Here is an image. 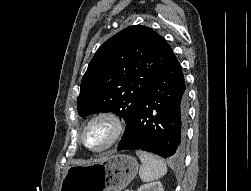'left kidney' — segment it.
I'll list each match as a JSON object with an SVG mask.
<instances>
[{
  "mask_svg": "<svg viewBox=\"0 0 251 191\" xmlns=\"http://www.w3.org/2000/svg\"><path fill=\"white\" fill-rule=\"evenodd\" d=\"M137 191H164V187L161 181H150V183H144Z\"/></svg>",
  "mask_w": 251,
  "mask_h": 191,
  "instance_id": "5707ae66",
  "label": "left kidney"
}]
</instances>
